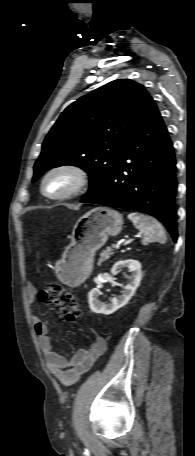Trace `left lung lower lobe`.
<instances>
[{
	"label": "left lung lower lobe",
	"mask_w": 195,
	"mask_h": 456,
	"mask_svg": "<svg viewBox=\"0 0 195 456\" xmlns=\"http://www.w3.org/2000/svg\"><path fill=\"white\" fill-rule=\"evenodd\" d=\"M175 164L172 141L154 103L129 134L100 188L81 202L152 215L176 242Z\"/></svg>",
	"instance_id": "1"
}]
</instances>
